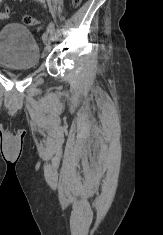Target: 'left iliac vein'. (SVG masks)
Segmentation results:
<instances>
[{
    "label": "left iliac vein",
    "mask_w": 163,
    "mask_h": 235,
    "mask_svg": "<svg viewBox=\"0 0 163 235\" xmlns=\"http://www.w3.org/2000/svg\"><path fill=\"white\" fill-rule=\"evenodd\" d=\"M42 40H43V42L47 45V48H46V50H45V53H47L48 50H49V45H50V43H51V36H50V34H49L48 31H46V32L43 33V35H42Z\"/></svg>",
    "instance_id": "1"
}]
</instances>
